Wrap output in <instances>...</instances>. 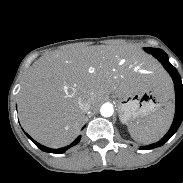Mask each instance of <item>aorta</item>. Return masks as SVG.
<instances>
[{
	"mask_svg": "<svg viewBox=\"0 0 183 183\" xmlns=\"http://www.w3.org/2000/svg\"><path fill=\"white\" fill-rule=\"evenodd\" d=\"M114 108L110 103H105L100 108V113L103 117H110L113 115Z\"/></svg>",
	"mask_w": 183,
	"mask_h": 183,
	"instance_id": "obj_1",
	"label": "aorta"
}]
</instances>
